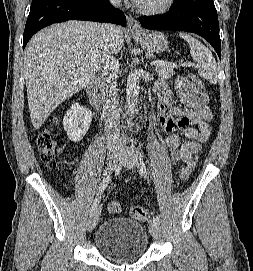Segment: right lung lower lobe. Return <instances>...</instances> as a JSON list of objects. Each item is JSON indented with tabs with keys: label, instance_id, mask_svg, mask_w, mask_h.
I'll return each instance as SVG.
<instances>
[{
	"label": "right lung lower lobe",
	"instance_id": "1",
	"mask_svg": "<svg viewBox=\"0 0 253 271\" xmlns=\"http://www.w3.org/2000/svg\"><path fill=\"white\" fill-rule=\"evenodd\" d=\"M110 22L126 26V18L108 0H32L25 25L23 48L40 29L67 20Z\"/></svg>",
	"mask_w": 253,
	"mask_h": 271
}]
</instances>
